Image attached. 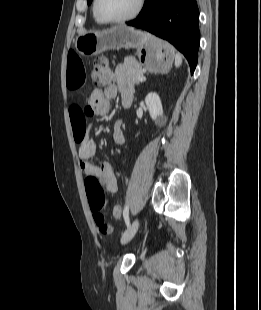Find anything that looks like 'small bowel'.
I'll return each mask as SVG.
<instances>
[{"instance_id":"c3829d8e","label":"small bowel","mask_w":261,"mask_h":310,"mask_svg":"<svg viewBox=\"0 0 261 310\" xmlns=\"http://www.w3.org/2000/svg\"><path fill=\"white\" fill-rule=\"evenodd\" d=\"M85 66L80 56L71 51L68 53L66 86L71 92L79 91L85 84ZM118 94L122 101L133 98L134 87L127 79L124 65H118L115 70V83L109 84L103 91L96 90L92 93L89 106L82 109L78 105L70 108V119L74 138L77 143V152L80 168L87 177L97 178L110 193L118 190V181L113 166L105 162L97 165L94 162L95 141L90 134V126L85 124L86 116L106 114L110 107V100ZM113 140L116 145L124 143L122 122L116 121L113 127Z\"/></svg>"}]
</instances>
